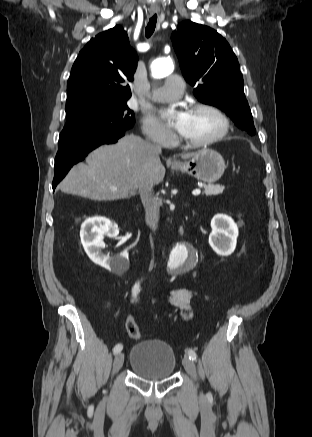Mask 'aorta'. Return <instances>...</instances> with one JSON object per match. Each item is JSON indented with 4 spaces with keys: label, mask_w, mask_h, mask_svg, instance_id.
<instances>
[{
    "label": "aorta",
    "mask_w": 312,
    "mask_h": 437,
    "mask_svg": "<svg viewBox=\"0 0 312 437\" xmlns=\"http://www.w3.org/2000/svg\"><path fill=\"white\" fill-rule=\"evenodd\" d=\"M174 70L171 58H158L151 64V73L154 78L168 76ZM196 261V254L183 244L177 245L171 253L168 262L169 269H189Z\"/></svg>",
    "instance_id": "obj_1"
}]
</instances>
